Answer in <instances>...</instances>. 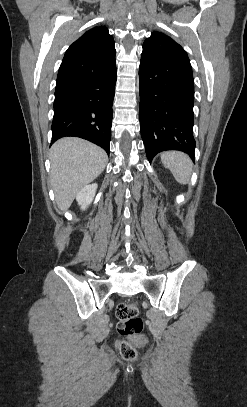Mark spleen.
Here are the masks:
<instances>
[{"label": "spleen", "instance_id": "spleen-1", "mask_svg": "<svg viewBox=\"0 0 247 407\" xmlns=\"http://www.w3.org/2000/svg\"><path fill=\"white\" fill-rule=\"evenodd\" d=\"M161 161L165 168L173 174L180 184H188L192 174L193 163L188 155L179 151H166L161 154Z\"/></svg>", "mask_w": 247, "mask_h": 407}]
</instances>
